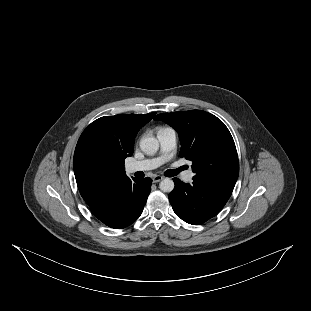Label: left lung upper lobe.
Masks as SVG:
<instances>
[{
	"label": "left lung upper lobe",
	"mask_w": 311,
	"mask_h": 311,
	"mask_svg": "<svg viewBox=\"0 0 311 311\" xmlns=\"http://www.w3.org/2000/svg\"><path fill=\"white\" fill-rule=\"evenodd\" d=\"M157 120L179 134L180 157L192 161L193 179L235 184L239 162L234 140L225 124L201 110L162 113Z\"/></svg>",
	"instance_id": "5c2ea615"
}]
</instances>
